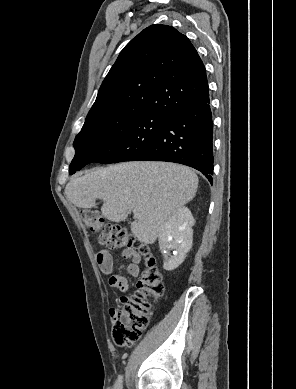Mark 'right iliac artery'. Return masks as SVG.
<instances>
[{
	"label": "right iliac artery",
	"mask_w": 296,
	"mask_h": 389,
	"mask_svg": "<svg viewBox=\"0 0 296 389\" xmlns=\"http://www.w3.org/2000/svg\"><path fill=\"white\" fill-rule=\"evenodd\" d=\"M116 389H122V376L119 377L116 383Z\"/></svg>",
	"instance_id": "1"
}]
</instances>
